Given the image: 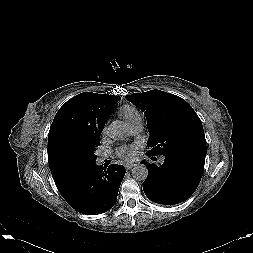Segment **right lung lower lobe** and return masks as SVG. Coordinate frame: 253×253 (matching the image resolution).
<instances>
[{
    "mask_svg": "<svg viewBox=\"0 0 253 253\" xmlns=\"http://www.w3.org/2000/svg\"><path fill=\"white\" fill-rule=\"evenodd\" d=\"M124 175L125 169L121 165L111 164L104 169L94 162L53 178L72 208L82 214L98 215L115 205Z\"/></svg>",
    "mask_w": 253,
    "mask_h": 253,
    "instance_id": "obj_1",
    "label": "right lung lower lobe"
}]
</instances>
